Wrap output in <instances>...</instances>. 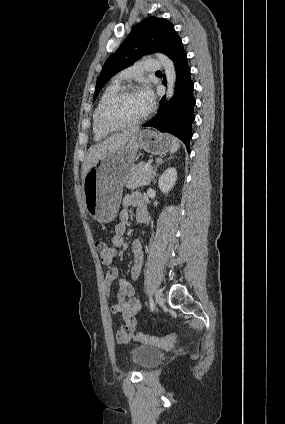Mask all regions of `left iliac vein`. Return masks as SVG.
Segmentation results:
<instances>
[{
	"label": "left iliac vein",
	"instance_id": "1",
	"mask_svg": "<svg viewBox=\"0 0 285 424\" xmlns=\"http://www.w3.org/2000/svg\"><path fill=\"white\" fill-rule=\"evenodd\" d=\"M155 299H156V303H157L159 306H162V305H163V303H164V298H163V296L160 294V292H157V293H156Z\"/></svg>",
	"mask_w": 285,
	"mask_h": 424
}]
</instances>
